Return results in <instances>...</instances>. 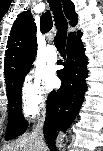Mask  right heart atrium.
<instances>
[{"mask_svg":"<svg viewBox=\"0 0 103 151\" xmlns=\"http://www.w3.org/2000/svg\"><path fill=\"white\" fill-rule=\"evenodd\" d=\"M20 99L23 113L27 117L35 116L45 107L46 94L41 79L37 75L28 73L24 77L20 90Z\"/></svg>","mask_w":103,"mask_h":151,"instance_id":"right-heart-atrium-1","label":"right heart atrium"}]
</instances>
